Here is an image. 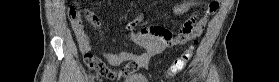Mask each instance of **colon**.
<instances>
[{"label": "colon", "mask_w": 279, "mask_h": 82, "mask_svg": "<svg viewBox=\"0 0 279 82\" xmlns=\"http://www.w3.org/2000/svg\"><path fill=\"white\" fill-rule=\"evenodd\" d=\"M217 3H219V1H210L209 2V4H217ZM79 15H80V11L75 8H71L68 12V18H69L70 22L76 21L79 18ZM85 16H86L87 20L94 26L99 25V20L93 12L86 10ZM192 53H193V46L186 48L180 56L175 58L173 64L168 69V73L170 75H173V74L181 72L186 67V65L189 63ZM100 67H103V65H100Z\"/></svg>", "instance_id": "colon-1"}]
</instances>
